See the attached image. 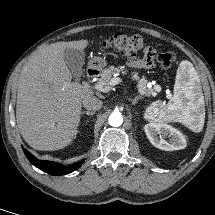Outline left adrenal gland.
<instances>
[{
    "mask_svg": "<svg viewBox=\"0 0 215 215\" xmlns=\"http://www.w3.org/2000/svg\"><path fill=\"white\" fill-rule=\"evenodd\" d=\"M141 98H142L141 96H136L134 99H131V103H132L133 105H136L137 102H138V100L141 99Z\"/></svg>",
    "mask_w": 215,
    "mask_h": 215,
    "instance_id": "left-adrenal-gland-1",
    "label": "left adrenal gland"
}]
</instances>
